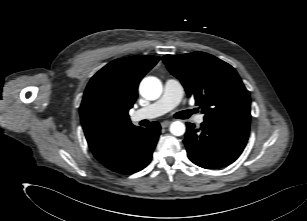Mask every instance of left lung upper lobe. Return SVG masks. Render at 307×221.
Listing matches in <instances>:
<instances>
[{
    "instance_id": "1",
    "label": "left lung upper lobe",
    "mask_w": 307,
    "mask_h": 221,
    "mask_svg": "<svg viewBox=\"0 0 307 221\" xmlns=\"http://www.w3.org/2000/svg\"><path fill=\"white\" fill-rule=\"evenodd\" d=\"M163 61L195 98L205 121L249 127L250 95L232 66L204 52L165 55Z\"/></svg>"
}]
</instances>
